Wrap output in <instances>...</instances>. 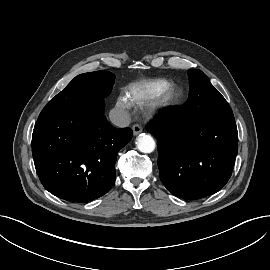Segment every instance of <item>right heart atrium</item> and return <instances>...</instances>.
Masks as SVG:
<instances>
[{
    "mask_svg": "<svg viewBox=\"0 0 270 270\" xmlns=\"http://www.w3.org/2000/svg\"><path fill=\"white\" fill-rule=\"evenodd\" d=\"M117 105L121 109H128L130 108V103L126 99V97H119L117 100Z\"/></svg>",
    "mask_w": 270,
    "mask_h": 270,
    "instance_id": "1",
    "label": "right heart atrium"
}]
</instances>
